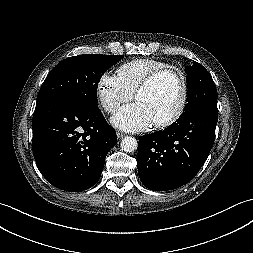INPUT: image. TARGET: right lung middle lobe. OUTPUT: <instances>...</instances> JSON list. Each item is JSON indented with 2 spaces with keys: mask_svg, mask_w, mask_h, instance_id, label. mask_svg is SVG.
Instances as JSON below:
<instances>
[{
  "mask_svg": "<svg viewBox=\"0 0 253 253\" xmlns=\"http://www.w3.org/2000/svg\"><path fill=\"white\" fill-rule=\"evenodd\" d=\"M122 58L123 55L83 54L64 59L43 82L37 104L58 100L83 109H97V87L102 74Z\"/></svg>",
  "mask_w": 253,
  "mask_h": 253,
  "instance_id": "right-lung-middle-lobe-1",
  "label": "right lung middle lobe"
}]
</instances>
